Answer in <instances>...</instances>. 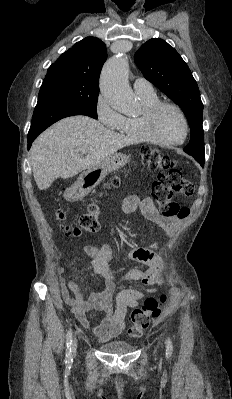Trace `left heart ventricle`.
I'll return each mask as SVG.
<instances>
[{
  "instance_id": "1",
  "label": "left heart ventricle",
  "mask_w": 232,
  "mask_h": 399,
  "mask_svg": "<svg viewBox=\"0 0 232 399\" xmlns=\"http://www.w3.org/2000/svg\"><path fill=\"white\" fill-rule=\"evenodd\" d=\"M157 133L164 139L181 141L185 136V126L179 114L170 107L163 108L155 119Z\"/></svg>"
}]
</instances>
